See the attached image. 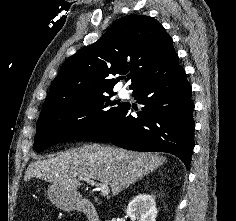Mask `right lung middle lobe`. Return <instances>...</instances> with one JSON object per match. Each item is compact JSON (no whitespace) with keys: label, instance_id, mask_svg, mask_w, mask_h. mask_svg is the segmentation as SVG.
I'll return each mask as SVG.
<instances>
[{"label":"right lung middle lobe","instance_id":"right-lung-middle-lobe-1","mask_svg":"<svg viewBox=\"0 0 236 221\" xmlns=\"http://www.w3.org/2000/svg\"><path fill=\"white\" fill-rule=\"evenodd\" d=\"M107 93L109 96L103 93L85 96L42 110L37 123L35 150L41 152L54 144L85 138L102 129L126 105L125 102H112L113 91Z\"/></svg>","mask_w":236,"mask_h":221}]
</instances>
